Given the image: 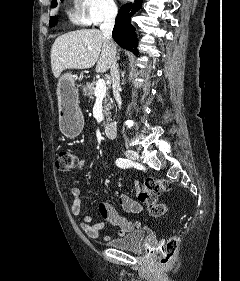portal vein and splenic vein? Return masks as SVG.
<instances>
[{
	"instance_id": "18ae733b",
	"label": "portal vein and splenic vein",
	"mask_w": 240,
	"mask_h": 281,
	"mask_svg": "<svg viewBox=\"0 0 240 281\" xmlns=\"http://www.w3.org/2000/svg\"><path fill=\"white\" fill-rule=\"evenodd\" d=\"M106 95V84L103 79H99L95 87V96L97 98H104Z\"/></svg>"
}]
</instances>
